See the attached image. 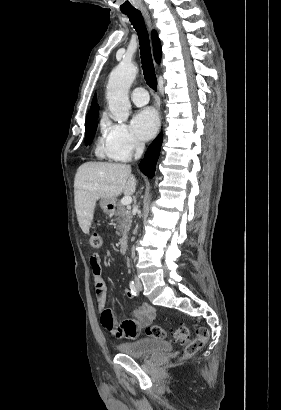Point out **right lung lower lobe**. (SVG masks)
<instances>
[{"mask_svg":"<svg viewBox=\"0 0 281 410\" xmlns=\"http://www.w3.org/2000/svg\"><path fill=\"white\" fill-rule=\"evenodd\" d=\"M163 134L160 133L157 138L150 144L145 154L144 159L140 162V170L152 178L155 173L156 163L159 157V152L162 144Z\"/></svg>","mask_w":281,"mask_h":410,"instance_id":"obj_1","label":"right lung lower lobe"}]
</instances>
